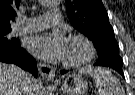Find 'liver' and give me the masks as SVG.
Instances as JSON below:
<instances>
[{"mask_svg": "<svg viewBox=\"0 0 135 95\" xmlns=\"http://www.w3.org/2000/svg\"><path fill=\"white\" fill-rule=\"evenodd\" d=\"M31 85L32 95H38L40 83L15 65L0 62V95H25V86Z\"/></svg>", "mask_w": 135, "mask_h": 95, "instance_id": "obj_1", "label": "liver"}]
</instances>
